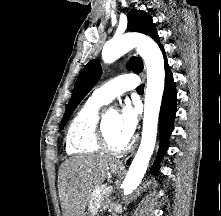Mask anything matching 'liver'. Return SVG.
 I'll use <instances>...</instances> for the list:
<instances>
[{"label": "liver", "instance_id": "1", "mask_svg": "<svg viewBox=\"0 0 221 216\" xmlns=\"http://www.w3.org/2000/svg\"><path fill=\"white\" fill-rule=\"evenodd\" d=\"M111 158L80 155L62 163L58 176V192L63 216H83L90 195L108 173Z\"/></svg>", "mask_w": 221, "mask_h": 216}]
</instances>
